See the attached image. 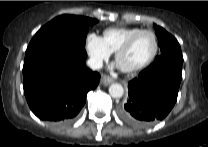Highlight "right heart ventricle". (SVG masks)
Returning a JSON list of instances; mask_svg holds the SVG:
<instances>
[{
  "instance_id": "right-heart-ventricle-1",
  "label": "right heart ventricle",
  "mask_w": 208,
  "mask_h": 147,
  "mask_svg": "<svg viewBox=\"0 0 208 147\" xmlns=\"http://www.w3.org/2000/svg\"><path fill=\"white\" fill-rule=\"evenodd\" d=\"M137 27H111L103 32V40L112 52H115L132 34L140 31Z\"/></svg>"
}]
</instances>
